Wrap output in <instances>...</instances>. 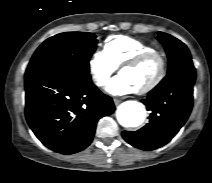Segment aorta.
<instances>
[{
    "mask_svg": "<svg viewBox=\"0 0 212 183\" xmlns=\"http://www.w3.org/2000/svg\"><path fill=\"white\" fill-rule=\"evenodd\" d=\"M116 115L123 127H138L145 120L146 110L143 104L137 101H127L119 106Z\"/></svg>",
    "mask_w": 212,
    "mask_h": 183,
    "instance_id": "1",
    "label": "aorta"
}]
</instances>
